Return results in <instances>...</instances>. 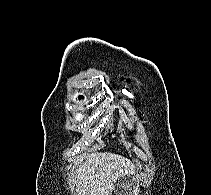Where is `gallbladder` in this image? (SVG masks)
Instances as JSON below:
<instances>
[{
  "label": "gallbladder",
  "instance_id": "bac80fb5",
  "mask_svg": "<svg viewBox=\"0 0 211 195\" xmlns=\"http://www.w3.org/2000/svg\"><path fill=\"white\" fill-rule=\"evenodd\" d=\"M121 181H122L121 179L120 181H118L116 190L122 192L123 195H127V192H128L127 189H125L123 186H120Z\"/></svg>",
  "mask_w": 211,
  "mask_h": 195
}]
</instances>
